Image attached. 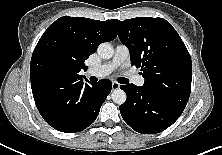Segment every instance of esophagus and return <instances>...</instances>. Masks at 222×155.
I'll return each mask as SVG.
<instances>
[{"label": "esophagus", "instance_id": "34e87169", "mask_svg": "<svg viewBox=\"0 0 222 155\" xmlns=\"http://www.w3.org/2000/svg\"><path fill=\"white\" fill-rule=\"evenodd\" d=\"M120 88V84L119 83H117V82H112V90H117V89H119Z\"/></svg>", "mask_w": 222, "mask_h": 155}]
</instances>
